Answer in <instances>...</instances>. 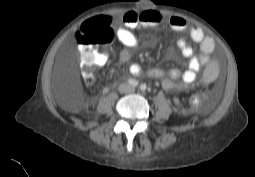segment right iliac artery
<instances>
[{
	"label": "right iliac artery",
	"mask_w": 255,
	"mask_h": 177,
	"mask_svg": "<svg viewBox=\"0 0 255 177\" xmlns=\"http://www.w3.org/2000/svg\"><path fill=\"white\" fill-rule=\"evenodd\" d=\"M128 83L130 84V85H132L133 87H136V86H138V81L137 80H135V79H128Z\"/></svg>",
	"instance_id": "right-iliac-artery-1"
}]
</instances>
